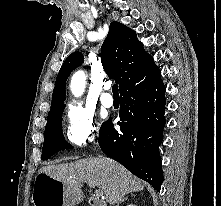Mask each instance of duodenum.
<instances>
[{
	"mask_svg": "<svg viewBox=\"0 0 221 206\" xmlns=\"http://www.w3.org/2000/svg\"><path fill=\"white\" fill-rule=\"evenodd\" d=\"M87 202L88 206H106L102 201L93 196L89 197Z\"/></svg>",
	"mask_w": 221,
	"mask_h": 206,
	"instance_id": "obj_1",
	"label": "duodenum"
}]
</instances>
